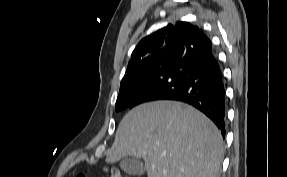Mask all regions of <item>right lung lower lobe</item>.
Instances as JSON below:
<instances>
[{"instance_id": "98d812e1", "label": "right lung lower lobe", "mask_w": 287, "mask_h": 177, "mask_svg": "<svg viewBox=\"0 0 287 177\" xmlns=\"http://www.w3.org/2000/svg\"><path fill=\"white\" fill-rule=\"evenodd\" d=\"M154 100L190 104L208 116L225 135V88L212 43L203 33L186 48L178 64L149 85L129 106Z\"/></svg>"}]
</instances>
